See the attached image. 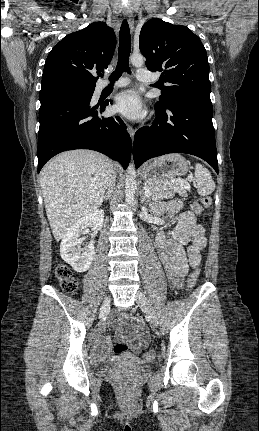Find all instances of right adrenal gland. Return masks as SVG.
<instances>
[{
	"instance_id": "obj_1",
	"label": "right adrenal gland",
	"mask_w": 259,
	"mask_h": 431,
	"mask_svg": "<svg viewBox=\"0 0 259 431\" xmlns=\"http://www.w3.org/2000/svg\"><path fill=\"white\" fill-rule=\"evenodd\" d=\"M109 197H110V194H106L105 196H104V198H103V200H108L109 199Z\"/></svg>"
}]
</instances>
